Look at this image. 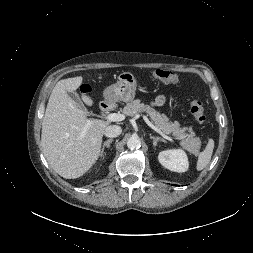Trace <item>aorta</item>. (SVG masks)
<instances>
[{
  "label": "aorta",
  "instance_id": "1",
  "mask_svg": "<svg viewBox=\"0 0 253 253\" xmlns=\"http://www.w3.org/2000/svg\"><path fill=\"white\" fill-rule=\"evenodd\" d=\"M127 147L131 150H135L141 147V140L137 136H132L127 141Z\"/></svg>",
  "mask_w": 253,
  "mask_h": 253
}]
</instances>
